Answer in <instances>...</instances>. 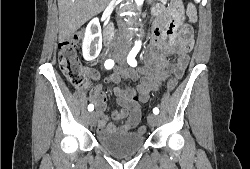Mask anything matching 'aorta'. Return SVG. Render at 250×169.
Masks as SVG:
<instances>
[{
	"mask_svg": "<svg viewBox=\"0 0 250 169\" xmlns=\"http://www.w3.org/2000/svg\"><path fill=\"white\" fill-rule=\"evenodd\" d=\"M136 4H138V6H141V4H143L144 0H135Z\"/></svg>",
	"mask_w": 250,
	"mask_h": 169,
	"instance_id": "762f6f07",
	"label": "aorta"
}]
</instances>
